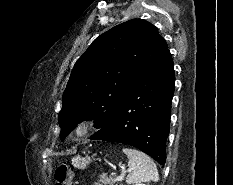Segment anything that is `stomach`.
Returning a JSON list of instances; mask_svg holds the SVG:
<instances>
[{"instance_id": "1", "label": "stomach", "mask_w": 233, "mask_h": 185, "mask_svg": "<svg viewBox=\"0 0 233 185\" xmlns=\"http://www.w3.org/2000/svg\"><path fill=\"white\" fill-rule=\"evenodd\" d=\"M72 164L79 169H84L89 164V160L83 157H74L72 159Z\"/></svg>"}]
</instances>
